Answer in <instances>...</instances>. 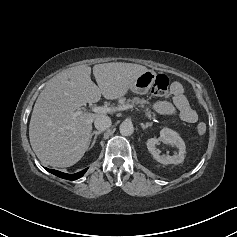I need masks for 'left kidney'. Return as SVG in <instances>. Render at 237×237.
I'll list each match as a JSON object with an SVG mask.
<instances>
[{
  "label": "left kidney",
  "mask_w": 237,
  "mask_h": 237,
  "mask_svg": "<svg viewBox=\"0 0 237 237\" xmlns=\"http://www.w3.org/2000/svg\"><path fill=\"white\" fill-rule=\"evenodd\" d=\"M159 141H162L167 144L175 145L179 150L178 154L174 156L160 155L156 149V144H158ZM146 145L149 152L153 155V158L162 164H165V165L180 164L184 161L185 153H186L185 143L183 139L177 134V132L169 128H163L160 131V138L148 139Z\"/></svg>",
  "instance_id": "left-kidney-1"
}]
</instances>
